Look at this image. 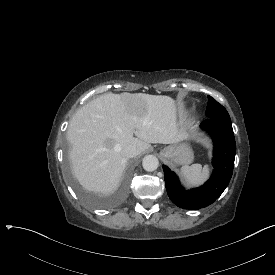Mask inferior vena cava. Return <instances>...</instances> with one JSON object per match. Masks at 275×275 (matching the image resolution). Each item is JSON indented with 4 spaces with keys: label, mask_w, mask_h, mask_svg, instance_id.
<instances>
[{
    "label": "inferior vena cava",
    "mask_w": 275,
    "mask_h": 275,
    "mask_svg": "<svg viewBox=\"0 0 275 275\" xmlns=\"http://www.w3.org/2000/svg\"><path fill=\"white\" fill-rule=\"evenodd\" d=\"M123 152L127 158H132L138 155L137 148L134 145H128L123 149Z\"/></svg>",
    "instance_id": "602c4592"
}]
</instances>
